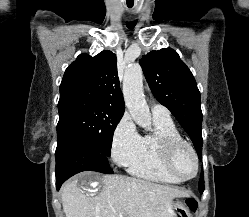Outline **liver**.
Listing matches in <instances>:
<instances>
[{
    "label": "liver",
    "instance_id": "6515ba94",
    "mask_svg": "<svg viewBox=\"0 0 249 217\" xmlns=\"http://www.w3.org/2000/svg\"><path fill=\"white\" fill-rule=\"evenodd\" d=\"M102 183L98 193L86 192L78 184ZM66 217H173L172 200L188 194L171 186L122 176L84 173L61 189Z\"/></svg>",
    "mask_w": 249,
    "mask_h": 217
}]
</instances>
